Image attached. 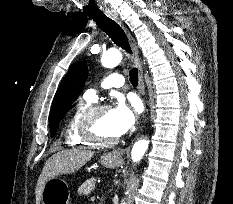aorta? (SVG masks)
I'll use <instances>...</instances> for the list:
<instances>
[{
    "mask_svg": "<svg viewBox=\"0 0 233 204\" xmlns=\"http://www.w3.org/2000/svg\"><path fill=\"white\" fill-rule=\"evenodd\" d=\"M122 61V54L117 49H110L102 55L101 63L106 68L116 67ZM149 141L141 139L135 142L131 151V159L138 162L148 149ZM125 204V203H124Z\"/></svg>",
    "mask_w": 233,
    "mask_h": 204,
    "instance_id": "aorta-1",
    "label": "aorta"
}]
</instances>
